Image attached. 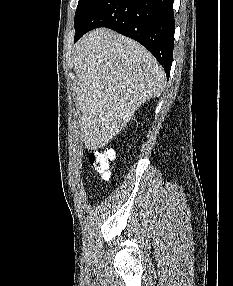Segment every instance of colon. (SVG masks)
<instances>
[{"label":"colon","mask_w":233,"mask_h":286,"mask_svg":"<svg viewBox=\"0 0 233 286\" xmlns=\"http://www.w3.org/2000/svg\"><path fill=\"white\" fill-rule=\"evenodd\" d=\"M114 158V152L111 149L91 150L88 154L90 165L99 172L104 179L110 177V164Z\"/></svg>","instance_id":"obj_1"}]
</instances>
